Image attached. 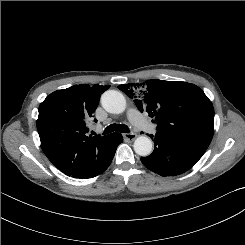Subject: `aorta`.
Masks as SVG:
<instances>
[{
    "label": "aorta",
    "instance_id": "762f6f07",
    "mask_svg": "<svg viewBox=\"0 0 245 245\" xmlns=\"http://www.w3.org/2000/svg\"><path fill=\"white\" fill-rule=\"evenodd\" d=\"M102 107L109 113L120 114L126 109V100L122 93L108 90L101 96ZM134 151L140 156H148L152 152V141L147 136H139L134 141Z\"/></svg>",
    "mask_w": 245,
    "mask_h": 245
}]
</instances>
